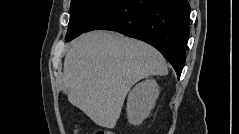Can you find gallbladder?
<instances>
[{
    "mask_svg": "<svg viewBox=\"0 0 239 134\" xmlns=\"http://www.w3.org/2000/svg\"><path fill=\"white\" fill-rule=\"evenodd\" d=\"M63 92H64L65 94H69L70 89H69L68 87L64 86Z\"/></svg>",
    "mask_w": 239,
    "mask_h": 134,
    "instance_id": "gallbladder-1",
    "label": "gallbladder"
}]
</instances>
